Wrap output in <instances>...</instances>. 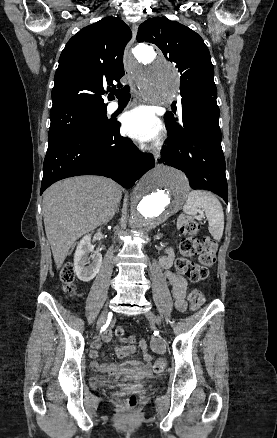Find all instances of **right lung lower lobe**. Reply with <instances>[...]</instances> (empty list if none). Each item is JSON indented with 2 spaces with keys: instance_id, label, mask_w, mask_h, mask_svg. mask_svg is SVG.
<instances>
[{
  "instance_id": "right-lung-lower-lobe-1",
  "label": "right lung lower lobe",
  "mask_w": 277,
  "mask_h": 438,
  "mask_svg": "<svg viewBox=\"0 0 277 438\" xmlns=\"http://www.w3.org/2000/svg\"><path fill=\"white\" fill-rule=\"evenodd\" d=\"M119 128L120 123L110 121L104 130L80 132L48 145L41 194L54 182L78 175H102L131 188L154 167V160L122 137Z\"/></svg>"
}]
</instances>
